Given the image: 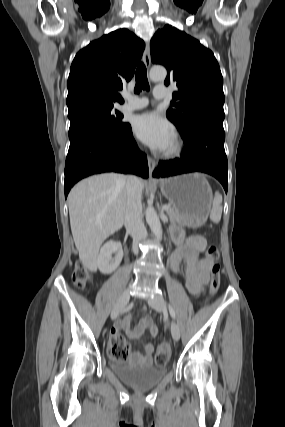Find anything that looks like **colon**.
Returning <instances> with one entry per match:
<instances>
[{"mask_svg":"<svg viewBox=\"0 0 285 427\" xmlns=\"http://www.w3.org/2000/svg\"><path fill=\"white\" fill-rule=\"evenodd\" d=\"M208 258L212 262L211 264V276H210V293L215 295L220 287L221 283V267L219 264V248L216 245H211L207 251ZM90 280V274L86 267L82 263H78L75 266L73 272V281L74 284L82 288ZM110 355L114 360L119 363L126 362L129 357L130 348L129 344L123 338L112 339L111 345L109 348ZM171 352L170 345L168 343H162L155 355L154 362L158 367L164 366L169 358Z\"/></svg>","mask_w":285,"mask_h":427,"instance_id":"1","label":"colon"}]
</instances>
